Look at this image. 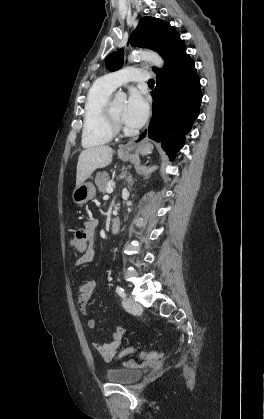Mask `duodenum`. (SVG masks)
I'll list each match as a JSON object with an SVG mask.
<instances>
[{
	"label": "duodenum",
	"mask_w": 264,
	"mask_h": 419,
	"mask_svg": "<svg viewBox=\"0 0 264 419\" xmlns=\"http://www.w3.org/2000/svg\"><path fill=\"white\" fill-rule=\"evenodd\" d=\"M120 229V221L119 219H113L110 224V232L117 233Z\"/></svg>",
	"instance_id": "duodenum-1"
}]
</instances>
